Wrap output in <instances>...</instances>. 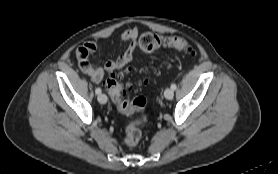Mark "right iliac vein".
I'll use <instances>...</instances> for the list:
<instances>
[{
  "label": "right iliac vein",
  "mask_w": 278,
  "mask_h": 174,
  "mask_svg": "<svg viewBox=\"0 0 278 174\" xmlns=\"http://www.w3.org/2000/svg\"><path fill=\"white\" fill-rule=\"evenodd\" d=\"M98 101L101 104H105L107 102V96L105 94H100L98 96Z\"/></svg>",
  "instance_id": "1"
}]
</instances>
